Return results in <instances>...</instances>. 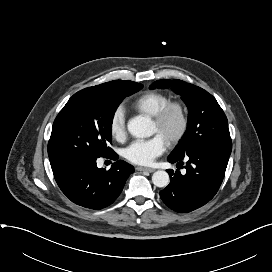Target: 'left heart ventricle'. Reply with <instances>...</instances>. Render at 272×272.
<instances>
[{
    "instance_id": "obj_1",
    "label": "left heart ventricle",
    "mask_w": 272,
    "mask_h": 272,
    "mask_svg": "<svg viewBox=\"0 0 272 272\" xmlns=\"http://www.w3.org/2000/svg\"><path fill=\"white\" fill-rule=\"evenodd\" d=\"M179 127L178 115L173 112L169 115L163 126L158 127L154 122L152 123V132L160 134L165 140L173 135Z\"/></svg>"
}]
</instances>
